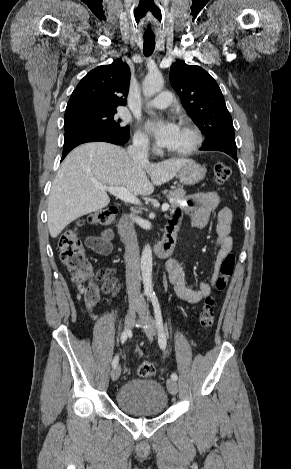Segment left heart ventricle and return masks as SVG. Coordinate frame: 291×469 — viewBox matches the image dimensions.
I'll return each mask as SVG.
<instances>
[{
	"mask_svg": "<svg viewBox=\"0 0 291 469\" xmlns=\"http://www.w3.org/2000/svg\"><path fill=\"white\" fill-rule=\"evenodd\" d=\"M193 136L190 130L184 126H179L172 143L167 147L169 150L184 149L191 144Z\"/></svg>",
	"mask_w": 291,
	"mask_h": 469,
	"instance_id": "1",
	"label": "left heart ventricle"
}]
</instances>
